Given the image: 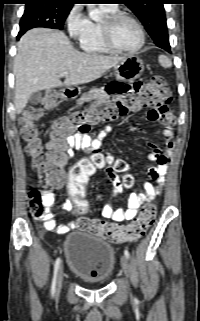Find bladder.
<instances>
[{"label":"bladder","mask_w":200,"mask_h":321,"mask_svg":"<svg viewBox=\"0 0 200 321\" xmlns=\"http://www.w3.org/2000/svg\"><path fill=\"white\" fill-rule=\"evenodd\" d=\"M69 269L87 283H106L113 275L114 248L103 238L86 231L69 233L64 240Z\"/></svg>","instance_id":"bladder-1"}]
</instances>
